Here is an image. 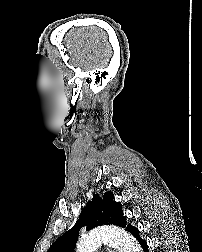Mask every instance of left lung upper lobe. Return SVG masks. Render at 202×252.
<instances>
[{
	"mask_svg": "<svg viewBox=\"0 0 202 252\" xmlns=\"http://www.w3.org/2000/svg\"><path fill=\"white\" fill-rule=\"evenodd\" d=\"M112 192H106L101 198L93 195L91 202L83 209L76 224L64 235L58 238L47 252H74L79 229L87 226V230L100 225H117L126 227V218L123 216L122 205L114 201ZM131 225H127L128 229Z\"/></svg>",
	"mask_w": 202,
	"mask_h": 252,
	"instance_id": "1",
	"label": "left lung upper lobe"
}]
</instances>
